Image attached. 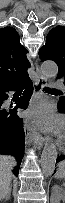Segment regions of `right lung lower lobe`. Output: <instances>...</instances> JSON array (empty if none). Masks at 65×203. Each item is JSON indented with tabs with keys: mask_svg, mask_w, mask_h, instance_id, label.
<instances>
[{
	"mask_svg": "<svg viewBox=\"0 0 65 203\" xmlns=\"http://www.w3.org/2000/svg\"><path fill=\"white\" fill-rule=\"evenodd\" d=\"M23 90L24 94L19 103L14 108H3V101L8 98L6 92ZM33 92V84L27 78L17 85L0 89V154L13 155L16 157L18 166L13 173L18 175L19 165L24 155L25 133L23 130V119L17 115V109L28 107L30 96Z\"/></svg>",
	"mask_w": 65,
	"mask_h": 203,
	"instance_id": "right-lung-lower-lobe-1",
	"label": "right lung lower lobe"
}]
</instances>
